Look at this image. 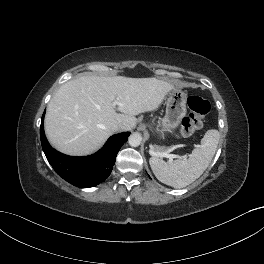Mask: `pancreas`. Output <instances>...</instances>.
<instances>
[{"label": "pancreas", "instance_id": "1", "mask_svg": "<svg viewBox=\"0 0 264 264\" xmlns=\"http://www.w3.org/2000/svg\"><path fill=\"white\" fill-rule=\"evenodd\" d=\"M167 149L166 148H164V147H155V151H157V152H165Z\"/></svg>", "mask_w": 264, "mask_h": 264}]
</instances>
